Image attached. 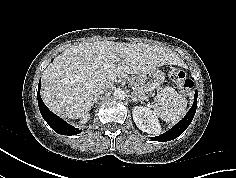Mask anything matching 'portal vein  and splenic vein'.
<instances>
[{"instance_id": "18ae733b", "label": "portal vein and splenic vein", "mask_w": 236, "mask_h": 178, "mask_svg": "<svg viewBox=\"0 0 236 178\" xmlns=\"http://www.w3.org/2000/svg\"><path fill=\"white\" fill-rule=\"evenodd\" d=\"M119 61H120V58H117V59H116V62H119ZM114 65H115V64H113V63L105 64V65H104V68H106V69H107V68H111V67H113Z\"/></svg>"}]
</instances>
